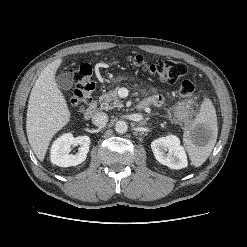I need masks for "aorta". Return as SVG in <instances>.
I'll list each match as a JSON object with an SVG mask.
<instances>
[{
	"instance_id": "aorta-1",
	"label": "aorta",
	"mask_w": 247,
	"mask_h": 247,
	"mask_svg": "<svg viewBox=\"0 0 247 247\" xmlns=\"http://www.w3.org/2000/svg\"><path fill=\"white\" fill-rule=\"evenodd\" d=\"M128 130V125L125 121L119 120L115 124V131L119 134H124Z\"/></svg>"
}]
</instances>
